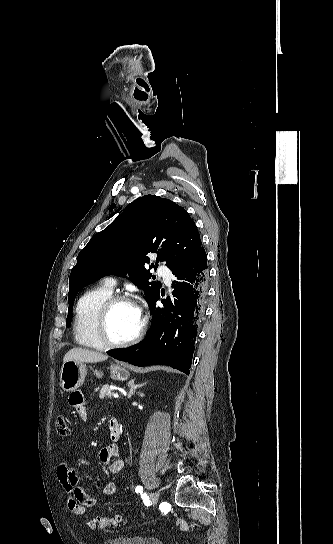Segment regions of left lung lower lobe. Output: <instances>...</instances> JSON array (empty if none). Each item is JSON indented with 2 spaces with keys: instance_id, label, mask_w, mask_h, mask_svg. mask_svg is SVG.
Masks as SVG:
<instances>
[{
  "instance_id": "obj_1",
  "label": "left lung lower lobe",
  "mask_w": 333,
  "mask_h": 544,
  "mask_svg": "<svg viewBox=\"0 0 333 544\" xmlns=\"http://www.w3.org/2000/svg\"><path fill=\"white\" fill-rule=\"evenodd\" d=\"M173 301L159 295L149 303L154 313L152 327L137 345L113 349L108 355L136 366L168 365L189 374L198 322L203 315L207 292V255L201 246L182 267L174 270Z\"/></svg>"
}]
</instances>
